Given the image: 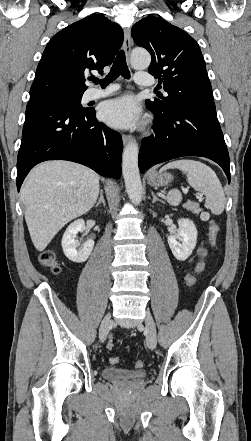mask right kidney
<instances>
[{"mask_svg": "<svg viewBox=\"0 0 251 441\" xmlns=\"http://www.w3.org/2000/svg\"><path fill=\"white\" fill-rule=\"evenodd\" d=\"M84 229V220L78 219L72 222L63 234L61 242L63 252L65 256L72 262H85L93 250L94 240L92 239L85 241L82 247L78 248L80 246V242L76 239V235L78 232H82Z\"/></svg>", "mask_w": 251, "mask_h": 441, "instance_id": "1", "label": "right kidney"}]
</instances>
